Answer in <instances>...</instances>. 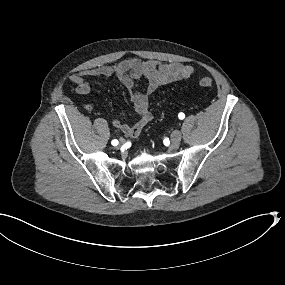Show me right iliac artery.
I'll return each mask as SVG.
<instances>
[{
  "label": "right iliac artery",
  "instance_id": "obj_1",
  "mask_svg": "<svg viewBox=\"0 0 285 285\" xmlns=\"http://www.w3.org/2000/svg\"><path fill=\"white\" fill-rule=\"evenodd\" d=\"M111 144L113 146H117L118 145V140H116V139L112 140Z\"/></svg>",
  "mask_w": 285,
  "mask_h": 285
}]
</instances>
